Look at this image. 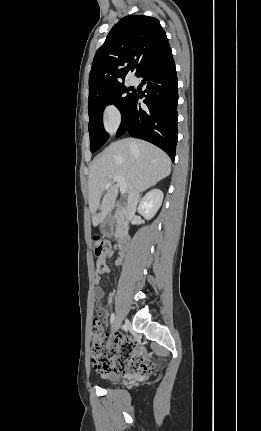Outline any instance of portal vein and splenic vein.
Listing matches in <instances>:
<instances>
[{
  "mask_svg": "<svg viewBox=\"0 0 261 431\" xmlns=\"http://www.w3.org/2000/svg\"><path fill=\"white\" fill-rule=\"evenodd\" d=\"M114 182L118 183L121 194H125L127 185L125 179L122 176H115L111 182L105 184V188L108 189Z\"/></svg>",
  "mask_w": 261,
  "mask_h": 431,
  "instance_id": "portal-vein-and-splenic-vein-1",
  "label": "portal vein and splenic vein"
}]
</instances>
